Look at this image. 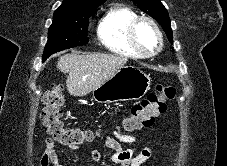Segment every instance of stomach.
<instances>
[{"instance_id": "obj_1", "label": "stomach", "mask_w": 227, "mask_h": 166, "mask_svg": "<svg viewBox=\"0 0 227 166\" xmlns=\"http://www.w3.org/2000/svg\"><path fill=\"white\" fill-rule=\"evenodd\" d=\"M151 78L135 66H123L106 82L93 90L98 103H114L141 99L150 89Z\"/></svg>"}]
</instances>
